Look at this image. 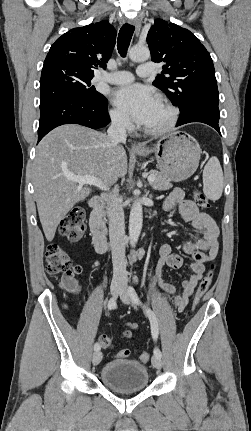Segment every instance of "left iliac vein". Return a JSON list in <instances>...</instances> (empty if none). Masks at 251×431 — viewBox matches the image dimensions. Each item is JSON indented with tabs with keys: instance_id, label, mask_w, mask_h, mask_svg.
Returning <instances> with one entry per match:
<instances>
[{
	"instance_id": "1",
	"label": "left iliac vein",
	"mask_w": 251,
	"mask_h": 431,
	"mask_svg": "<svg viewBox=\"0 0 251 431\" xmlns=\"http://www.w3.org/2000/svg\"><path fill=\"white\" fill-rule=\"evenodd\" d=\"M120 295V299L122 300L123 303L125 304H130L131 301V297L129 294V289H127V287L123 286L119 292ZM152 365L156 368V369H161L162 367V360L160 357L154 355L152 357Z\"/></svg>"
}]
</instances>
